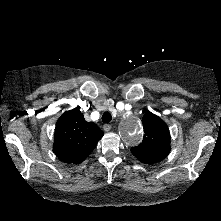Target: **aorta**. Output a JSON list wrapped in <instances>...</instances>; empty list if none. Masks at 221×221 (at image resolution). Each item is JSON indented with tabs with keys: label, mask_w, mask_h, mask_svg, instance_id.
<instances>
[{
	"label": "aorta",
	"mask_w": 221,
	"mask_h": 221,
	"mask_svg": "<svg viewBox=\"0 0 221 221\" xmlns=\"http://www.w3.org/2000/svg\"><path fill=\"white\" fill-rule=\"evenodd\" d=\"M143 135L142 125L137 120H127L120 129V136L130 146L138 144Z\"/></svg>",
	"instance_id": "762f6f07"
}]
</instances>
